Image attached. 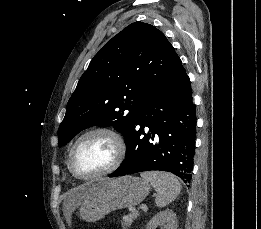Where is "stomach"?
Returning a JSON list of instances; mask_svg holds the SVG:
<instances>
[{
	"instance_id": "0dacf381",
	"label": "stomach",
	"mask_w": 261,
	"mask_h": 229,
	"mask_svg": "<svg viewBox=\"0 0 261 229\" xmlns=\"http://www.w3.org/2000/svg\"><path fill=\"white\" fill-rule=\"evenodd\" d=\"M91 195L82 201L80 217L87 223H96L117 209L135 207L149 195L150 185L140 177H119L113 181L95 179L84 183Z\"/></svg>"
}]
</instances>
